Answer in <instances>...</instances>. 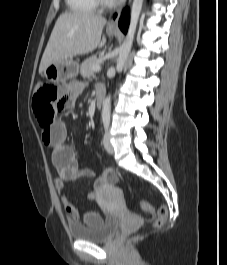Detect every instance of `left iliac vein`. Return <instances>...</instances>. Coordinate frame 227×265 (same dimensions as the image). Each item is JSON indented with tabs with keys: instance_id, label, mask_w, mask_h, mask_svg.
I'll return each mask as SVG.
<instances>
[{
	"instance_id": "left-iliac-vein-1",
	"label": "left iliac vein",
	"mask_w": 227,
	"mask_h": 265,
	"mask_svg": "<svg viewBox=\"0 0 227 265\" xmlns=\"http://www.w3.org/2000/svg\"><path fill=\"white\" fill-rule=\"evenodd\" d=\"M103 143H104V147L106 149V151L109 153V154H113L114 153V149H113V146L110 142V135L108 132L105 133V136H104V139H103Z\"/></svg>"
}]
</instances>
